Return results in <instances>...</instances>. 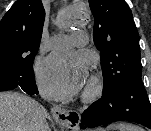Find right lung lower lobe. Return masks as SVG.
Returning a JSON list of instances; mask_svg holds the SVG:
<instances>
[{
  "mask_svg": "<svg viewBox=\"0 0 151 131\" xmlns=\"http://www.w3.org/2000/svg\"><path fill=\"white\" fill-rule=\"evenodd\" d=\"M16 87L21 88L24 92L29 95L38 94V89L35 84V77H30L28 79L19 80L16 83H12L7 80L4 76H0V91L12 90Z\"/></svg>",
  "mask_w": 151,
  "mask_h": 131,
  "instance_id": "98d812e1",
  "label": "right lung lower lobe"
}]
</instances>
